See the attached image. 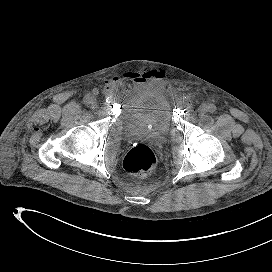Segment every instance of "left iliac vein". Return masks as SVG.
<instances>
[{
  "label": "left iliac vein",
  "instance_id": "1",
  "mask_svg": "<svg viewBox=\"0 0 272 272\" xmlns=\"http://www.w3.org/2000/svg\"><path fill=\"white\" fill-rule=\"evenodd\" d=\"M207 111H208V106L206 104H202L198 109L200 116H203L204 114H206Z\"/></svg>",
  "mask_w": 272,
  "mask_h": 272
}]
</instances>
